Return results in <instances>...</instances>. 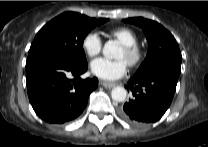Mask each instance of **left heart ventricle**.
Segmentation results:
<instances>
[{"label":"left heart ventricle","instance_id":"obj_1","mask_svg":"<svg viewBox=\"0 0 208 147\" xmlns=\"http://www.w3.org/2000/svg\"><path fill=\"white\" fill-rule=\"evenodd\" d=\"M118 58L124 59L126 62H128L127 54L123 48L120 50Z\"/></svg>","mask_w":208,"mask_h":147}]
</instances>
